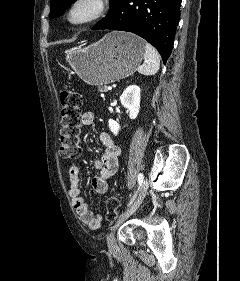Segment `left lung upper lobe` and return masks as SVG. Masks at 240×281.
<instances>
[{
  "instance_id": "5c2ea615",
  "label": "left lung upper lobe",
  "mask_w": 240,
  "mask_h": 281,
  "mask_svg": "<svg viewBox=\"0 0 240 281\" xmlns=\"http://www.w3.org/2000/svg\"><path fill=\"white\" fill-rule=\"evenodd\" d=\"M76 0H50L51 5V11L49 18L52 19L54 17H58L62 15L67 7L75 2ZM116 0H110V6L115 2Z\"/></svg>"
}]
</instances>
